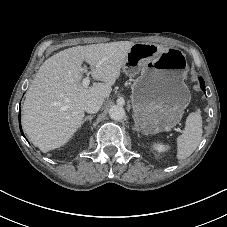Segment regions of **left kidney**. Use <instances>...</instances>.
<instances>
[{"label":"left kidney","mask_w":227,"mask_h":227,"mask_svg":"<svg viewBox=\"0 0 227 227\" xmlns=\"http://www.w3.org/2000/svg\"><path fill=\"white\" fill-rule=\"evenodd\" d=\"M153 148L157 150L158 152H164L169 149L168 145H163V144H154Z\"/></svg>","instance_id":"5707ae66"}]
</instances>
